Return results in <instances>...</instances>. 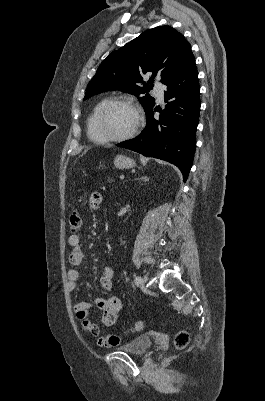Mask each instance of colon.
<instances>
[{"label":"colon","instance_id":"5ec220e1","mask_svg":"<svg viewBox=\"0 0 265 401\" xmlns=\"http://www.w3.org/2000/svg\"><path fill=\"white\" fill-rule=\"evenodd\" d=\"M81 199V198H79ZM82 226V215L78 210L71 212L69 216V228L71 231L76 232ZM144 324L142 321H137L134 326L129 330V332H136L142 330ZM189 342V334L186 331H179L174 339V344L177 348L182 349L187 346Z\"/></svg>","mask_w":265,"mask_h":401}]
</instances>
